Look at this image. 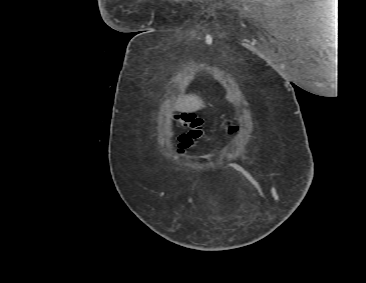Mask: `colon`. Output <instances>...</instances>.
Segmentation results:
<instances>
[{
  "label": "colon",
  "instance_id": "1",
  "mask_svg": "<svg viewBox=\"0 0 366 283\" xmlns=\"http://www.w3.org/2000/svg\"><path fill=\"white\" fill-rule=\"evenodd\" d=\"M175 120L186 129V132L179 137L178 152L182 153L204 137V121L194 114L187 113L176 115ZM227 130L233 133L237 130V126L228 124Z\"/></svg>",
  "mask_w": 366,
  "mask_h": 283
}]
</instances>
